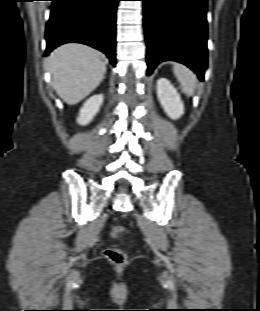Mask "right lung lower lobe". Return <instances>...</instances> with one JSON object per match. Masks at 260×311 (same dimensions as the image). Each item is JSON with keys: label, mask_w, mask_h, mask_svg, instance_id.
I'll return each instance as SVG.
<instances>
[{"label": "right lung lower lobe", "mask_w": 260, "mask_h": 311, "mask_svg": "<svg viewBox=\"0 0 260 311\" xmlns=\"http://www.w3.org/2000/svg\"><path fill=\"white\" fill-rule=\"evenodd\" d=\"M45 37L48 55L61 44L77 42L105 53L115 66L116 10L119 0H51Z\"/></svg>", "instance_id": "1"}]
</instances>
